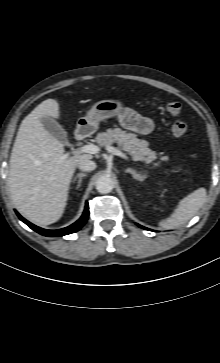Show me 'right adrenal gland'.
<instances>
[{"label":"right adrenal gland","instance_id":"2a0ac1e0","mask_svg":"<svg viewBox=\"0 0 220 363\" xmlns=\"http://www.w3.org/2000/svg\"><path fill=\"white\" fill-rule=\"evenodd\" d=\"M86 176H87V174H86V173H78V174L74 177L73 181H75L76 179H78L77 189L81 186V182H82L83 177H86Z\"/></svg>","mask_w":220,"mask_h":363}]
</instances>
